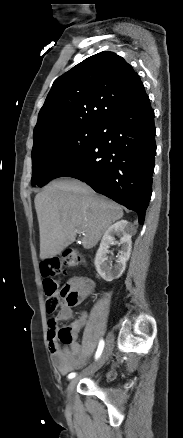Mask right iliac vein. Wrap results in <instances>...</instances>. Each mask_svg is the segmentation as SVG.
<instances>
[{
    "mask_svg": "<svg viewBox=\"0 0 183 438\" xmlns=\"http://www.w3.org/2000/svg\"><path fill=\"white\" fill-rule=\"evenodd\" d=\"M112 342H113L112 339H109L107 341L106 347H105L102 355L99 357V359L96 361L95 364H93L91 367H89V369L87 370V373H93V372L97 371L98 369H100L104 365V363L108 360V358L111 354ZM77 382H78L77 378L72 379L67 386L66 396H67V401L69 404H71L72 393L74 391V388H75Z\"/></svg>",
    "mask_w": 183,
    "mask_h": 438,
    "instance_id": "63e3f726",
    "label": "right iliac vein"
}]
</instances>
